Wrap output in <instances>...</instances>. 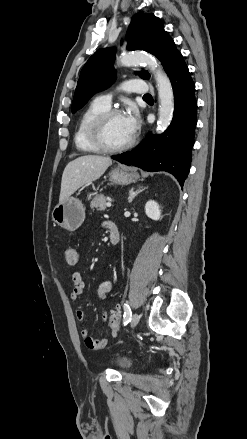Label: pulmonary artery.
Here are the masks:
<instances>
[{
  "instance_id": "e3ab8cb5",
  "label": "pulmonary artery",
  "mask_w": 247,
  "mask_h": 439,
  "mask_svg": "<svg viewBox=\"0 0 247 439\" xmlns=\"http://www.w3.org/2000/svg\"><path fill=\"white\" fill-rule=\"evenodd\" d=\"M123 89L126 92H134L139 94H146L149 90L147 83L141 79L127 80L123 85ZM97 100L105 106L110 107L112 102V94L108 93L101 95L97 98Z\"/></svg>"
}]
</instances>
